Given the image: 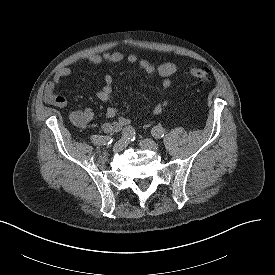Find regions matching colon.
<instances>
[{
  "mask_svg": "<svg viewBox=\"0 0 275 275\" xmlns=\"http://www.w3.org/2000/svg\"><path fill=\"white\" fill-rule=\"evenodd\" d=\"M186 75L197 84H207L211 81L210 70L206 67H188Z\"/></svg>",
  "mask_w": 275,
  "mask_h": 275,
  "instance_id": "1",
  "label": "colon"
}]
</instances>
